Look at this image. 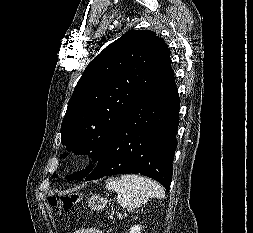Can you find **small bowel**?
Returning <instances> with one entry per match:
<instances>
[{
	"label": "small bowel",
	"instance_id": "1",
	"mask_svg": "<svg viewBox=\"0 0 253 233\" xmlns=\"http://www.w3.org/2000/svg\"><path fill=\"white\" fill-rule=\"evenodd\" d=\"M75 233H102L97 229H93V228H88V229H81L76 231Z\"/></svg>",
	"mask_w": 253,
	"mask_h": 233
}]
</instances>
